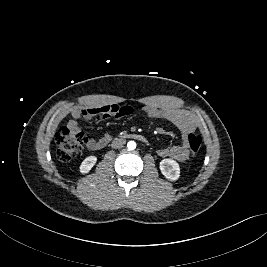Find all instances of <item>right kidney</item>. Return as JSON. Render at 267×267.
I'll return each instance as SVG.
<instances>
[{
	"instance_id": "right-kidney-1",
	"label": "right kidney",
	"mask_w": 267,
	"mask_h": 267,
	"mask_svg": "<svg viewBox=\"0 0 267 267\" xmlns=\"http://www.w3.org/2000/svg\"><path fill=\"white\" fill-rule=\"evenodd\" d=\"M96 161H97L96 156L86 157L80 165V172L83 174L88 173L92 169V167L95 165Z\"/></svg>"
}]
</instances>
